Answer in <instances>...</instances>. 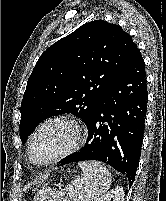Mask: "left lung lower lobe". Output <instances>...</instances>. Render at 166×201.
Instances as JSON below:
<instances>
[{"instance_id": "0a47b994", "label": "left lung lower lobe", "mask_w": 166, "mask_h": 201, "mask_svg": "<svg viewBox=\"0 0 166 201\" xmlns=\"http://www.w3.org/2000/svg\"><path fill=\"white\" fill-rule=\"evenodd\" d=\"M145 63L137 49L91 117L86 145L61 161L98 160L126 175L130 186L140 159L147 111Z\"/></svg>"}]
</instances>
